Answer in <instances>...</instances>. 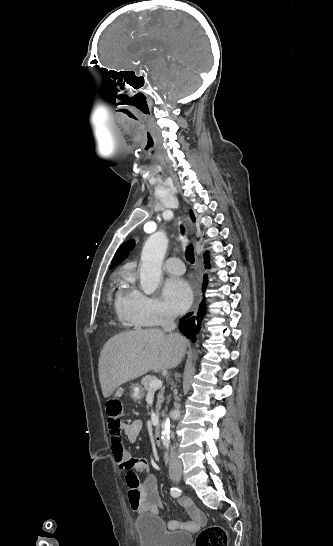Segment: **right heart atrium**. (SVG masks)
<instances>
[{
	"label": "right heart atrium",
	"instance_id": "obj_1",
	"mask_svg": "<svg viewBox=\"0 0 333 546\" xmlns=\"http://www.w3.org/2000/svg\"><path fill=\"white\" fill-rule=\"evenodd\" d=\"M126 309L129 317L141 325H158L169 321L171 318L159 299L148 296L138 289L132 290Z\"/></svg>",
	"mask_w": 333,
	"mask_h": 546
}]
</instances>
